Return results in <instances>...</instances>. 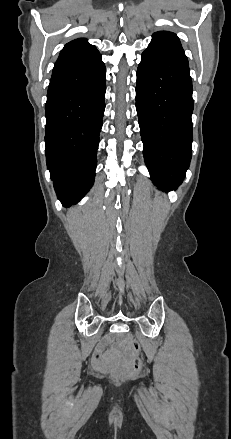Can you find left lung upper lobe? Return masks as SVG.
Returning <instances> with one entry per match:
<instances>
[{
    "mask_svg": "<svg viewBox=\"0 0 231 439\" xmlns=\"http://www.w3.org/2000/svg\"><path fill=\"white\" fill-rule=\"evenodd\" d=\"M148 49L187 58L177 35L169 31L154 33Z\"/></svg>",
    "mask_w": 231,
    "mask_h": 439,
    "instance_id": "1",
    "label": "left lung upper lobe"
}]
</instances>
